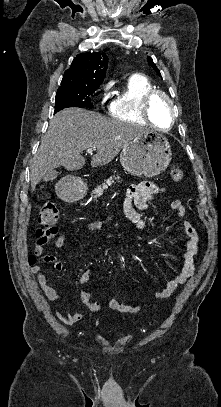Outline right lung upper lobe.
<instances>
[{"mask_svg":"<svg viewBox=\"0 0 221 407\" xmlns=\"http://www.w3.org/2000/svg\"><path fill=\"white\" fill-rule=\"evenodd\" d=\"M108 57L104 53L78 54L65 71L59 88H98L106 74Z\"/></svg>","mask_w":221,"mask_h":407,"instance_id":"right-lung-upper-lobe-1","label":"right lung upper lobe"}]
</instances>
